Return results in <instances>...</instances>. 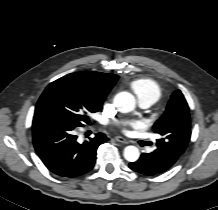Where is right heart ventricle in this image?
Instances as JSON below:
<instances>
[{
  "instance_id": "e07e8e85",
  "label": "right heart ventricle",
  "mask_w": 218,
  "mask_h": 210,
  "mask_svg": "<svg viewBox=\"0 0 218 210\" xmlns=\"http://www.w3.org/2000/svg\"><path fill=\"white\" fill-rule=\"evenodd\" d=\"M131 89L135 93L138 101L148 100L155 103L161 96L159 85L152 79H137L131 83Z\"/></svg>"
}]
</instances>
